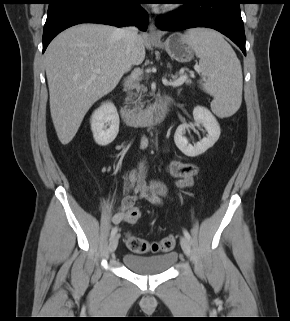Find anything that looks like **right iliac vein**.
<instances>
[{
    "instance_id": "obj_1",
    "label": "right iliac vein",
    "mask_w": 290,
    "mask_h": 321,
    "mask_svg": "<svg viewBox=\"0 0 290 321\" xmlns=\"http://www.w3.org/2000/svg\"><path fill=\"white\" fill-rule=\"evenodd\" d=\"M118 240H119V238L117 235H115L111 238L110 243H109V248H108L109 253H113L116 250V248L118 246Z\"/></svg>"
}]
</instances>
